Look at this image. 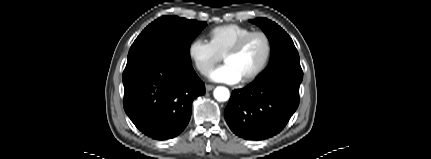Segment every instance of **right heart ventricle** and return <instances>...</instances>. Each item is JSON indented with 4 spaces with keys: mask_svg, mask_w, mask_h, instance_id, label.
Returning <instances> with one entry per match:
<instances>
[{
    "mask_svg": "<svg viewBox=\"0 0 431 159\" xmlns=\"http://www.w3.org/2000/svg\"><path fill=\"white\" fill-rule=\"evenodd\" d=\"M251 32H253L251 28L243 25L225 24L211 29L208 36L214 50L223 56L228 49Z\"/></svg>",
    "mask_w": 431,
    "mask_h": 159,
    "instance_id": "right-heart-ventricle-1",
    "label": "right heart ventricle"
}]
</instances>
